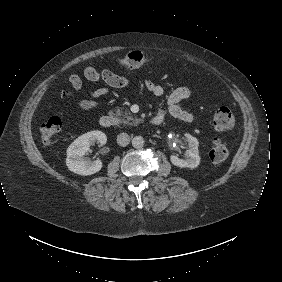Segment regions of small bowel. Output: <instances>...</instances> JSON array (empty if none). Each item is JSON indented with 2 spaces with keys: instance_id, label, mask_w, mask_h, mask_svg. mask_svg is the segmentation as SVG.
Masks as SVG:
<instances>
[{
  "instance_id": "small-bowel-1",
  "label": "small bowel",
  "mask_w": 282,
  "mask_h": 282,
  "mask_svg": "<svg viewBox=\"0 0 282 282\" xmlns=\"http://www.w3.org/2000/svg\"><path fill=\"white\" fill-rule=\"evenodd\" d=\"M83 75L89 81L103 82L106 86L111 88H124L129 83L128 79L124 76L118 75L108 69L99 70L93 66H87L83 71ZM69 82L75 91L85 95V98L78 102V107L81 110H92L103 105L101 97L108 93L106 87L86 91L83 87L81 77L76 73L69 75ZM144 86L155 96H162L165 92V88L162 84L149 79L144 80ZM191 95L192 91L189 87L184 85L177 86L168 96L166 107L160 108L155 117H161L163 121L169 114L182 122L196 123L198 121L196 115L181 106V103L187 101Z\"/></svg>"
}]
</instances>
